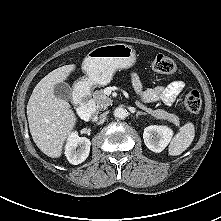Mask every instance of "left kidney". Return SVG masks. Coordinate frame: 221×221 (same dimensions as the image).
I'll return each instance as SVG.
<instances>
[{
	"instance_id": "1",
	"label": "left kidney",
	"mask_w": 221,
	"mask_h": 221,
	"mask_svg": "<svg viewBox=\"0 0 221 221\" xmlns=\"http://www.w3.org/2000/svg\"><path fill=\"white\" fill-rule=\"evenodd\" d=\"M173 131L167 126L151 125L144 129V143L151 151H163L171 141Z\"/></svg>"
}]
</instances>
